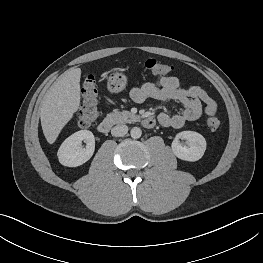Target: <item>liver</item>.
Listing matches in <instances>:
<instances>
[{"instance_id":"liver-1","label":"liver","mask_w":263,"mask_h":263,"mask_svg":"<svg viewBox=\"0 0 263 263\" xmlns=\"http://www.w3.org/2000/svg\"><path fill=\"white\" fill-rule=\"evenodd\" d=\"M80 68H70L46 92L40 107L44 136L53 144L80 106Z\"/></svg>"}]
</instances>
